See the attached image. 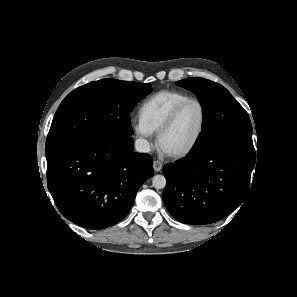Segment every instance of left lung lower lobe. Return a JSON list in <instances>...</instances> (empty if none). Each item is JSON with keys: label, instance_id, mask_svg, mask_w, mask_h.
Masks as SVG:
<instances>
[{"label": "left lung lower lobe", "instance_id": "0a47b994", "mask_svg": "<svg viewBox=\"0 0 297 297\" xmlns=\"http://www.w3.org/2000/svg\"><path fill=\"white\" fill-rule=\"evenodd\" d=\"M255 152L215 146L163 167V201L170 214L185 224L217 222L245 199Z\"/></svg>", "mask_w": 297, "mask_h": 297}]
</instances>
